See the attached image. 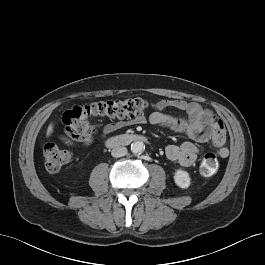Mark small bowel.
I'll list each match as a JSON object with an SVG mask.
<instances>
[{
	"mask_svg": "<svg viewBox=\"0 0 265 265\" xmlns=\"http://www.w3.org/2000/svg\"><path fill=\"white\" fill-rule=\"evenodd\" d=\"M169 108L185 112L186 117L164 113V110ZM134 122L144 123L146 119L140 117ZM148 122L152 125L168 127L174 131L185 133L195 142H212L221 158L228 156V149L224 146L225 130L222 122L199 103L182 99H161L154 104ZM126 124L124 121L106 124L102 134L104 137L108 136ZM89 142L90 139L83 144ZM165 152L169 160L178 162L182 166H191L196 161L199 149L195 143L187 141L180 145H168Z\"/></svg>",
	"mask_w": 265,
	"mask_h": 265,
	"instance_id": "1",
	"label": "small bowel"
}]
</instances>
